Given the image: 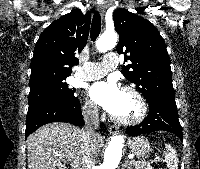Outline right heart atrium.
Instances as JSON below:
<instances>
[{"label": "right heart atrium", "instance_id": "1", "mask_svg": "<svg viewBox=\"0 0 200 169\" xmlns=\"http://www.w3.org/2000/svg\"><path fill=\"white\" fill-rule=\"evenodd\" d=\"M82 113L87 119H97L99 116L98 107L91 101L85 100L82 105Z\"/></svg>", "mask_w": 200, "mask_h": 169}]
</instances>
